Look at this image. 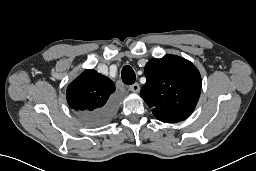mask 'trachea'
<instances>
[{
  "instance_id": "3493384b",
  "label": "trachea",
  "mask_w": 256,
  "mask_h": 171,
  "mask_svg": "<svg viewBox=\"0 0 256 171\" xmlns=\"http://www.w3.org/2000/svg\"><path fill=\"white\" fill-rule=\"evenodd\" d=\"M121 78L124 84L132 85L136 80V75L131 66H124L121 71Z\"/></svg>"
}]
</instances>
